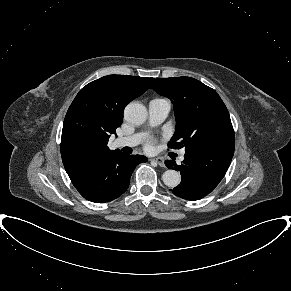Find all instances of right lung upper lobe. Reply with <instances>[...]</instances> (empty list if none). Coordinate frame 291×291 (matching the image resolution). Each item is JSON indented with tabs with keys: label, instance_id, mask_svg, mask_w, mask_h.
I'll return each mask as SVG.
<instances>
[{
	"label": "right lung upper lobe",
	"instance_id": "cb5924a9",
	"mask_svg": "<svg viewBox=\"0 0 291 291\" xmlns=\"http://www.w3.org/2000/svg\"><path fill=\"white\" fill-rule=\"evenodd\" d=\"M153 78L108 75L84 86L64 119L61 156L74 186L106 157L120 150L107 146L121 125L123 110L142 95Z\"/></svg>",
	"mask_w": 291,
	"mask_h": 291
}]
</instances>
